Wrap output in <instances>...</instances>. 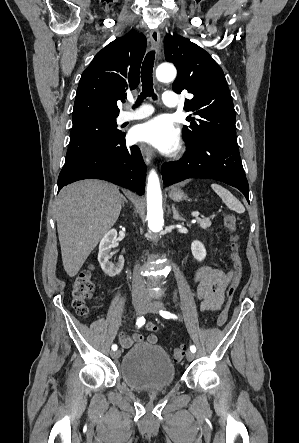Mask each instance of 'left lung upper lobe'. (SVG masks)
Returning a JSON list of instances; mask_svg holds the SVG:
<instances>
[{"label": "left lung upper lobe", "instance_id": "1", "mask_svg": "<svg viewBox=\"0 0 299 443\" xmlns=\"http://www.w3.org/2000/svg\"><path fill=\"white\" fill-rule=\"evenodd\" d=\"M165 58L178 69L172 89L187 90L193 98L185 101L189 126L183 127V137L189 144L207 138H217L237 144L235 110L222 69L210 54L179 35H167L164 40Z\"/></svg>", "mask_w": 299, "mask_h": 443}]
</instances>
